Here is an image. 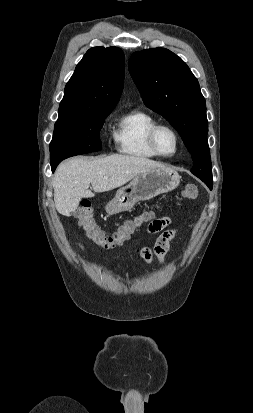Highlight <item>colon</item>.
<instances>
[{
  "label": "colon",
  "instance_id": "1",
  "mask_svg": "<svg viewBox=\"0 0 253 413\" xmlns=\"http://www.w3.org/2000/svg\"><path fill=\"white\" fill-rule=\"evenodd\" d=\"M199 195V188L194 183L186 185L183 196L187 199H196ZM79 226L84 230L87 238L95 245L109 250L121 246L129 240L137 231L139 226L150 219L149 214H143L135 219L124 222L113 234L106 235L96 224L93 218V210L89 203H82L74 211Z\"/></svg>",
  "mask_w": 253,
  "mask_h": 413
}]
</instances>
